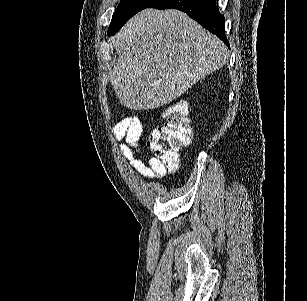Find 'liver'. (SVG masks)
I'll list each match as a JSON object with an SVG mask.
<instances>
[{
    "label": "liver",
    "mask_w": 307,
    "mask_h": 301,
    "mask_svg": "<svg viewBox=\"0 0 307 301\" xmlns=\"http://www.w3.org/2000/svg\"><path fill=\"white\" fill-rule=\"evenodd\" d=\"M111 84L123 106L158 108L225 64L229 50L185 12L144 8L112 36Z\"/></svg>",
    "instance_id": "liver-1"
}]
</instances>
